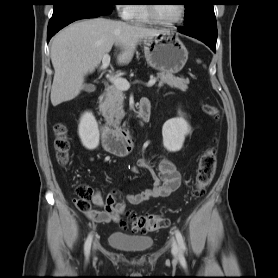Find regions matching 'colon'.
Returning <instances> with one entry per match:
<instances>
[{"label": "colon", "instance_id": "5ec220e1", "mask_svg": "<svg viewBox=\"0 0 278 278\" xmlns=\"http://www.w3.org/2000/svg\"><path fill=\"white\" fill-rule=\"evenodd\" d=\"M204 112L213 117L219 118V112L216 107L212 105H204ZM56 139L54 142L57 160L60 164L65 165L70 158V140L67 135L66 127L62 123L55 125ZM217 167V149L215 146L207 147L200 156L197 174L195 178L194 189L192 196L194 198L201 197L207 187L212 182ZM77 199L76 202H89L92 196V191L87 185H79L76 188ZM167 226V220L160 215H134L131 218V227L134 231L151 232L156 231Z\"/></svg>", "mask_w": 278, "mask_h": 278}]
</instances>
